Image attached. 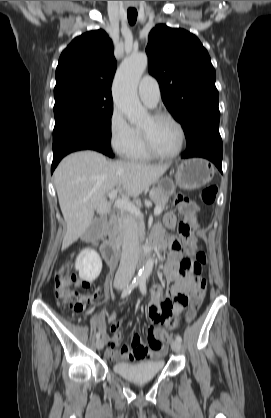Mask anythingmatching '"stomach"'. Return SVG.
Here are the masks:
<instances>
[{
	"mask_svg": "<svg viewBox=\"0 0 271 418\" xmlns=\"http://www.w3.org/2000/svg\"><path fill=\"white\" fill-rule=\"evenodd\" d=\"M215 174L213 165L202 158L183 160L178 166L175 174L176 184L185 190L198 189L209 183ZM158 188L167 195H172L175 185L170 178H162Z\"/></svg>",
	"mask_w": 271,
	"mask_h": 418,
	"instance_id": "obj_1",
	"label": "stomach"
}]
</instances>
